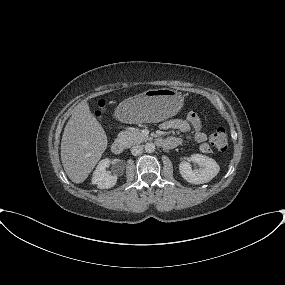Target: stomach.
Here are the masks:
<instances>
[{
  "mask_svg": "<svg viewBox=\"0 0 285 285\" xmlns=\"http://www.w3.org/2000/svg\"><path fill=\"white\" fill-rule=\"evenodd\" d=\"M183 105V96L176 90L149 89L122 101L115 114L126 123H156L174 116Z\"/></svg>",
  "mask_w": 285,
  "mask_h": 285,
  "instance_id": "stomach-1",
  "label": "stomach"
}]
</instances>
